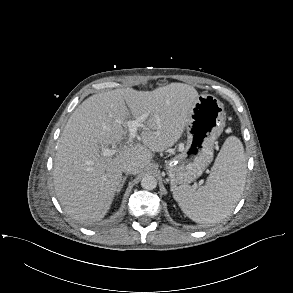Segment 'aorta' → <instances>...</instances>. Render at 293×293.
<instances>
[{
    "label": "aorta",
    "mask_w": 293,
    "mask_h": 293,
    "mask_svg": "<svg viewBox=\"0 0 293 293\" xmlns=\"http://www.w3.org/2000/svg\"><path fill=\"white\" fill-rule=\"evenodd\" d=\"M141 186L145 190H153L157 186V180L153 175L146 174L142 177Z\"/></svg>",
    "instance_id": "obj_1"
}]
</instances>
